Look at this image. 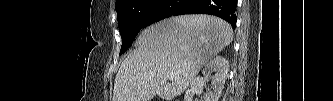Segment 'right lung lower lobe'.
Listing matches in <instances>:
<instances>
[{"label": "right lung lower lobe", "mask_w": 333, "mask_h": 101, "mask_svg": "<svg viewBox=\"0 0 333 101\" xmlns=\"http://www.w3.org/2000/svg\"><path fill=\"white\" fill-rule=\"evenodd\" d=\"M237 0H163L149 19V25L181 14H211L223 18L235 29Z\"/></svg>", "instance_id": "1"}]
</instances>
